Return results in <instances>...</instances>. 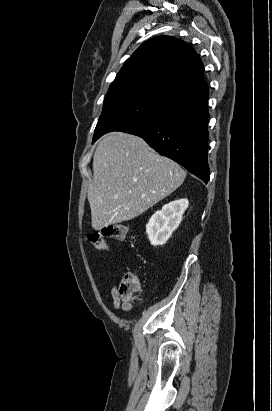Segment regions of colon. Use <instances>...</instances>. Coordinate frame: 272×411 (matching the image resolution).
Masks as SVG:
<instances>
[{
	"instance_id": "obj_1",
	"label": "colon",
	"mask_w": 272,
	"mask_h": 411,
	"mask_svg": "<svg viewBox=\"0 0 272 411\" xmlns=\"http://www.w3.org/2000/svg\"><path fill=\"white\" fill-rule=\"evenodd\" d=\"M128 228L123 223H114L105 225L100 231L89 234V242L99 250L108 249L105 238L124 239L127 235ZM141 292L140 281L135 272L128 271L124 273L120 280L117 294L124 305L125 309H130L132 304L139 297Z\"/></svg>"
}]
</instances>
